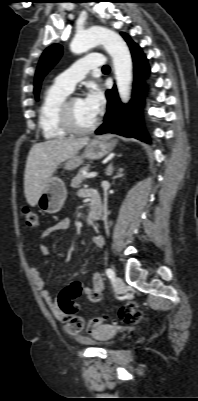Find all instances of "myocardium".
Wrapping results in <instances>:
<instances>
[{"mask_svg":"<svg viewBox=\"0 0 198 401\" xmlns=\"http://www.w3.org/2000/svg\"><path fill=\"white\" fill-rule=\"evenodd\" d=\"M79 97L77 96H69L67 97L59 111V121L61 126L65 131H67L70 134H85L93 131L96 129V127L99 125V118L96 117L94 122L90 124L89 126L86 127H80L78 126L73 118V110H72V103L75 99Z\"/></svg>","mask_w":198,"mask_h":401,"instance_id":"myocardium-1","label":"myocardium"}]
</instances>
